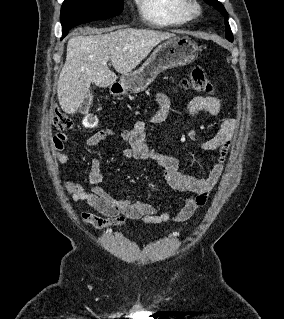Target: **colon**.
Masks as SVG:
<instances>
[{
    "label": "colon",
    "instance_id": "1",
    "mask_svg": "<svg viewBox=\"0 0 284 319\" xmlns=\"http://www.w3.org/2000/svg\"><path fill=\"white\" fill-rule=\"evenodd\" d=\"M183 85L186 88H192L197 92L203 94H213L214 88L208 80L204 69L200 66H195L190 70L189 75L183 81ZM73 124V120L68 116L59 111L54 112L52 117L53 127L63 132L69 129Z\"/></svg>",
    "mask_w": 284,
    "mask_h": 319
}]
</instances>
